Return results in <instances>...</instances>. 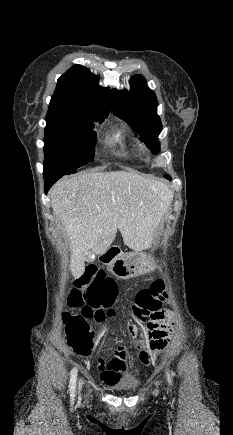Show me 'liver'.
Returning a JSON list of instances; mask_svg holds the SVG:
<instances>
[{"label":"liver","mask_w":233,"mask_h":435,"mask_svg":"<svg viewBox=\"0 0 233 435\" xmlns=\"http://www.w3.org/2000/svg\"><path fill=\"white\" fill-rule=\"evenodd\" d=\"M50 200L70 242V270L74 278L84 272V258L102 254L119 229L124 243L145 250L173 201V192L161 180L133 172H88L60 179Z\"/></svg>","instance_id":"liver-1"}]
</instances>
